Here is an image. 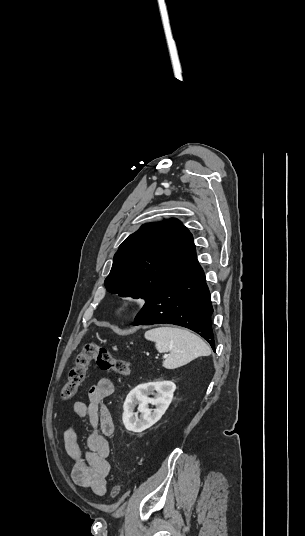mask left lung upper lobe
I'll list each match as a JSON object with an SVG mask.
<instances>
[{
    "label": "left lung upper lobe",
    "instance_id": "obj_1",
    "mask_svg": "<svg viewBox=\"0 0 305 536\" xmlns=\"http://www.w3.org/2000/svg\"><path fill=\"white\" fill-rule=\"evenodd\" d=\"M196 259L192 234L179 220L144 224L120 245L105 286L147 302Z\"/></svg>",
    "mask_w": 305,
    "mask_h": 536
}]
</instances>
